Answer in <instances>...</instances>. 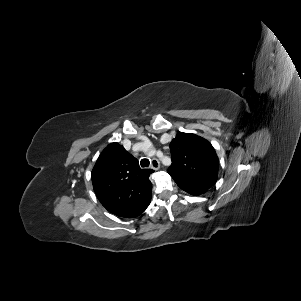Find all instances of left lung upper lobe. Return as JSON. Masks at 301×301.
I'll return each instance as SVG.
<instances>
[{"label":"left lung upper lobe","mask_w":301,"mask_h":301,"mask_svg":"<svg viewBox=\"0 0 301 301\" xmlns=\"http://www.w3.org/2000/svg\"><path fill=\"white\" fill-rule=\"evenodd\" d=\"M172 164L168 173L184 191L205 193L217 180L219 160L213 146L191 133H179L170 143Z\"/></svg>","instance_id":"5c2ea615"}]
</instances>
